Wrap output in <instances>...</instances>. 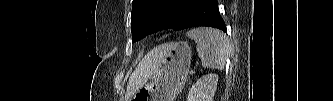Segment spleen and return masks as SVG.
<instances>
[{
  "label": "spleen",
  "instance_id": "1",
  "mask_svg": "<svg viewBox=\"0 0 333 101\" xmlns=\"http://www.w3.org/2000/svg\"><path fill=\"white\" fill-rule=\"evenodd\" d=\"M197 46L198 56L204 68L223 69L230 55L231 45L228 37L213 28H196L187 33Z\"/></svg>",
  "mask_w": 333,
  "mask_h": 101
}]
</instances>
